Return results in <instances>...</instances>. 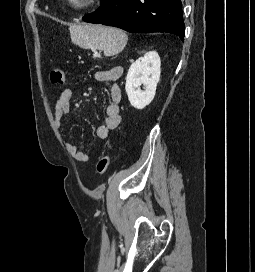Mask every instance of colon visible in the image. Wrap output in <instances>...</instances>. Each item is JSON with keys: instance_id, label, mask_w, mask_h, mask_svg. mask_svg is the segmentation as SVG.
<instances>
[{"instance_id": "colon-1", "label": "colon", "mask_w": 255, "mask_h": 272, "mask_svg": "<svg viewBox=\"0 0 255 272\" xmlns=\"http://www.w3.org/2000/svg\"><path fill=\"white\" fill-rule=\"evenodd\" d=\"M50 81L55 85L65 84V75L62 69L55 67L50 72ZM110 162L109 155L101 156L96 163V171L98 174L103 175L107 172Z\"/></svg>"}]
</instances>
